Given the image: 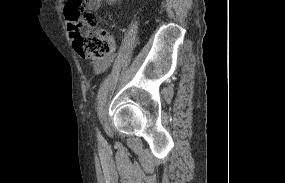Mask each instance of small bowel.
Instances as JSON below:
<instances>
[{"label":"small bowel","mask_w":285,"mask_h":183,"mask_svg":"<svg viewBox=\"0 0 285 183\" xmlns=\"http://www.w3.org/2000/svg\"><path fill=\"white\" fill-rule=\"evenodd\" d=\"M101 3H102V0H86L85 7L88 10L97 11L101 7ZM113 59H114V57L110 56V57L105 58L103 60L94 62L92 65L93 72L96 75L103 74L108 69V67L112 63Z\"/></svg>","instance_id":"obj_1"}]
</instances>
